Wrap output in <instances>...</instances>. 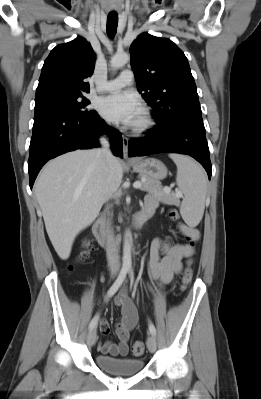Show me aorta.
<instances>
[{
  "mask_svg": "<svg viewBox=\"0 0 261 399\" xmlns=\"http://www.w3.org/2000/svg\"><path fill=\"white\" fill-rule=\"evenodd\" d=\"M130 60V56L127 53L115 54L110 60V66L113 69H119L128 63ZM132 235L130 231H126L124 236V245H123V265L131 266V252H132Z\"/></svg>",
  "mask_w": 261,
  "mask_h": 399,
  "instance_id": "762f6f07",
  "label": "aorta"
}]
</instances>
